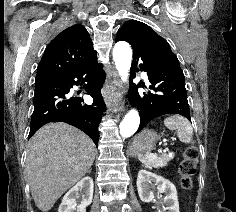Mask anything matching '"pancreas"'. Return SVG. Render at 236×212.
Returning a JSON list of instances; mask_svg holds the SVG:
<instances>
[{"label": "pancreas", "mask_w": 236, "mask_h": 212, "mask_svg": "<svg viewBox=\"0 0 236 212\" xmlns=\"http://www.w3.org/2000/svg\"><path fill=\"white\" fill-rule=\"evenodd\" d=\"M174 156H169V155H166V154H163L161 157H160V161L162 163L163 166H166L167 163L173 159Z\"/></svg>", "instance_id": "pancreas-1"}]
</instances>
